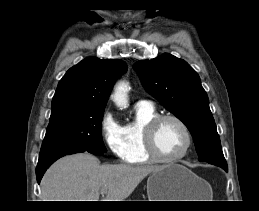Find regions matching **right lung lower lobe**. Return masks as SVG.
I'll return each mask as SVG.
<instances>
[{"label": "right lung lower lobe", "mask_w": 259, "mask_h": 211, "mask_svg": "<svg viewBox=\"0 0 259 211\" xmlns=\"http://www.w3.org/2000/svg\"><path fill=\"white\" fill-rule=\"evenodd\" d=\"M80 152H84V150H63V151L55 152V153L51 154L50 156H47L43 159H39L37 168H36V178H37L38 183H40L41 178H42L43 174L45 173V171L47 170V168L53 162H55L57 159H59L62 156H65L67 154H74V153H80ZM88 152L93 153V154H102L99 152H91V151H88Z\"/></svg>", "instance_id": "98d812e1"}]
</instances>
